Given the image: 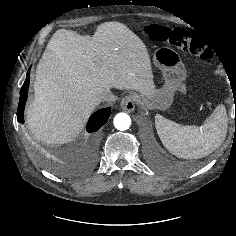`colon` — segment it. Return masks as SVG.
I'll list each match as a JSON object with an SVG mask.
<instances>
[{
	"instance_id": "1",
	"label": "colon",
	"mask_w": 236,
	"mask_h": 236,
	"mask_svg": "<svg viewBox=\"0 0 236 236\" xmlns=\"http://www.w3.org/2000/svg\"><path fill=\"white\" fill-rule=\"evenodd\" d=\"M145 33L152 39L190 52L205 62L213 57L211 48L194 33L178 27L150 24Z\"/></svg>"
}]
</instances>
